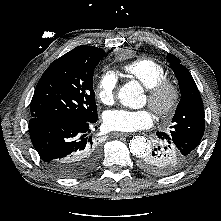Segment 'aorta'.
<instances>
[{"mask_svg": "<svg viewBox=\"0 0 221 221\" xmlns=\"http://www.w3.org/2000/svg\"><path fill=\"white\" fill-rule=\"evenodd\" d=\"M118 98L122 105L130 108H140L143 105L141 86L136 82L125 84L118 92ZM130 152L138 157L151 150V144L143 136H135L129 143Z\"/></svg>", "mask_w": 221, "mask_h": 221, "instance_id": "aorta-1", "label": "aorta"}]
</instances>
